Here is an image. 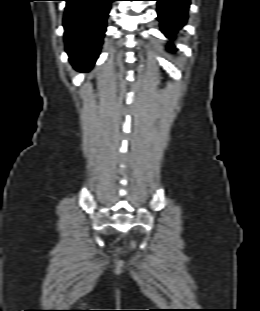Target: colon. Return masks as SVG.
Wrapping results in <instances>:
<instances>
[{"instance_id": "obj_1", "label": "colon", "mask_w": 260, "mask_h": 311, "mask_svg": "<svg viewBox=\"0 0 260 311\" xmlns=\"http://www.w3.org/2000/svg\"><path fill=\"white\" fill-rule=\"evenodd\" d=\"M131 245H132V246H134V245H135V243H134V242H132V243H131Z\"/></svg>"}]
</instances>
